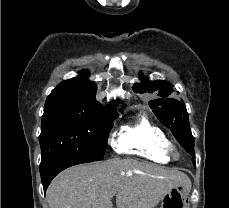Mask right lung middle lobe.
Returning a JSON list of instances; mask_svg holds the SVG:
<instances>
[{"label":"right lung middle lobe","instance_id":"1","mask_svg":"<svg viewBox=\"0 0 229 208\" xmlns=\"http://www.w3.org/2000/svg\"><path fill=\"white\" fill-rule=\"evenodd\" d=\"M113 120L96 118L71 106L45 105L39 136L40 168L65 155L102 160Z\"/></svg>","mask_w":229,"mask_h":208}]
</instances>
